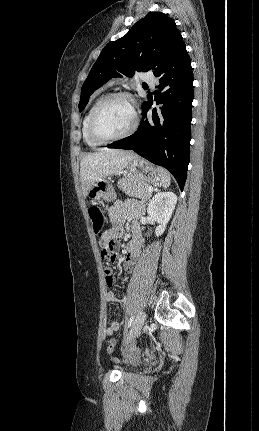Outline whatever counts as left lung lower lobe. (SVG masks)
I'll return each instance as SVG.
<instances>
[{"label":"left lung lower lobe","mask_w":259,"mask_h":431,"mask_svg":"<svg viewBox=\"0 0 259 431\" xmlns=\"http://www.w3.org/2000/svg\"><path fill=\"white\" fill-rule=\"evenodd\" d=\"M155 100L160 105L147 119L151 102L142 106L143 118L133 135L108 145L133 150L150 162L168 169L183 191L190 159L193 72L186 45L180 40L161 67Z\"/></svg>","instance_id":"obj_1"}]
</instances>
